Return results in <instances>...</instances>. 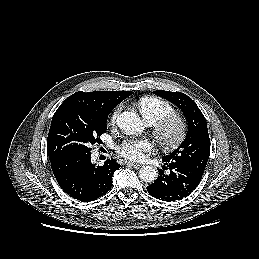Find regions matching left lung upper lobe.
<instances>
[{
	"label": "left lung upper lobe",
	"instance_id": "left-lung-upper-lobe-1",
	"mask_svg": "<svg viewBox=\"0 0 259 259\" xmlns=\"http://www.w3.org/2000/svg\"><path fill=\"white\" fill-rule=\"evenodd\" d=\"M153 93L179 107L188 122L184 142L172 153L164 156L163 160L186 163L203 173L210 155V138L204 115L196 103L181 92L157 90Z\"/></svg>",
	"mask_w": 259,
	"mask_h": 259
}]
</instances>
